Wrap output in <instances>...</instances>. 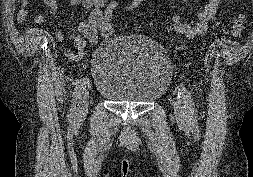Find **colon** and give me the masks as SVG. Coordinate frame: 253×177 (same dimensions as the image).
I'll return each mask as SVG.
<instances>
[{
    "mask_svg": "<svg viewBox=\"0 0 253 177\" xmlns=\"http://www.w3.org/2000/svg\"><path fill=\"white\" fill-rule=\"evenodd\" d=\"M120 3V0H110L104 8L103 24L100 32V36L103 40L110 39L115 33ZM247 18L246 11L241 7L236 12L230 28L226 30L225 33L232 37H239L242 35L247 24Z\"/></svg>",
    "mask_w": 253,
    "mask_h": 177,
    "instance_id": "1",
    "label": "colon"
}]
</instances>
